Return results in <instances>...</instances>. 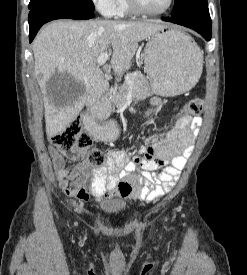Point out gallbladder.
<instances>
[{
    "mask_svg": "<svg viewBox=\"0 0 247 275\" xmlns=\"http://www.w3.org/2000/svg\"><path fill=\"white\" fill-rule=\"evenodd\" d=\"M47 93L49 96L65 97L66 95L75 96L77 93H82L81 84L69 74H61L56 72L46 84Z\"/></svg>",
    "mask_w": 247,
    "mask_h": 275,
    "instance_id": "gallbladder-1",
    "label": "gallbladder"
}]
</instances>
